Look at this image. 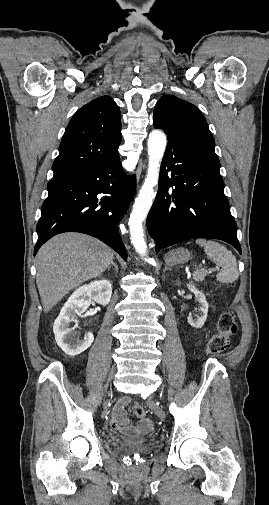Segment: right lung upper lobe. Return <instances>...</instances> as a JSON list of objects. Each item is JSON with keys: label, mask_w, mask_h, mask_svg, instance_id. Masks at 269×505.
Returning a JSON list of instances; mask_svg holds the SVG:
<instances>
[{"label": "right lung upper lobe", "mask_w": 269, "mask_h": 505, "mask_svg": "<svg viewBox=\"0 0 269 505\" xmlns=\"http://www.w3.org/2000/svg\"><path fill=\"white\" fill-rule=\"evenodd\" d=\"M121 113L109 96L81 107L70 120L59 146L53 178L82 170L118 154Z\"/></svg>", "instance_id": "right-lung-upper-lobe-1"}]
</instances>
